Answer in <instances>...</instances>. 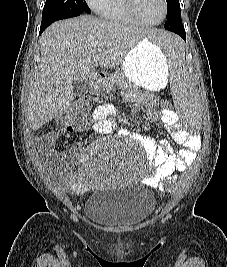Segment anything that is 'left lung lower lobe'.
<instances>
[{
    "label": "left lung lower lobe",
    "mask_w": 227,
    "mask_h": 267,
    "mask_svg": "<svg viewBox=\"0 0 227 267\" xmlns=\"http://www.w3.org/2000/svg\"><path fill=\"white\" fill-rule=\"evenodd\" d=\"M165 30L174 32L186 41V33L181 20V12L171 16L164 24Z\"/></svg>",
    "instance_id": "obj_1"
}]
</instances>
